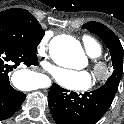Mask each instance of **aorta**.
<instances>
[{"label":"aorta","instance_id":"762f6f07","mask_svg":"<svg viewBox=\"0 0 124 124\" xmlns=\"http://www.w3.org/2000/svg\"><path fill=\"white\" fill-rule=\"evenodd\" d=\"M52 59L62 66H74L84 58V52L77 39L70 35H58L49 45Z\"/></svg>","mask_w":124,"mask_h":124}]
</instances>
